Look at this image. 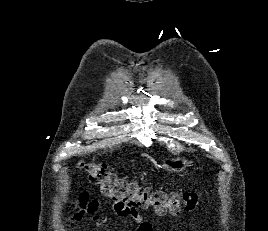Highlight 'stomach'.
I'll return each instance as SVG.
<instances>
[{"mask_svg": "<svg viewBox=\"0 0 268 231\" xmlns=\"http://www.w3.org/2000/svg\"><path fill=\"white\" fill-rule=\"evenodd\" d=\"M192 162L185 157L166 158L162 164V168L169 173H182L185 172Z\"/></svg>", "mask_w": 268, "mask_h": 231, "instance_id": "0dacf381", "label": "stomach"}]
</instances>
